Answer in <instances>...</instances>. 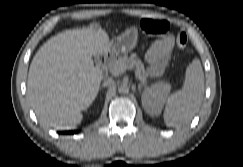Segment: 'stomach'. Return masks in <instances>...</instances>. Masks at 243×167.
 <instances>
[{"instance_id": "stomach-1", "label": "stomach", "mask_w": 243, "mask_h": 167, "mask_svg": "<svg viewBox=\"0 0 243 167\" xmlns=\"http://www.w3.org/2000/svg\"><path fill=\"white\" fill-rule=\"evenodd\" d=\"M137 39V28L135 26L127 28L124 33L117 36L110 42V54L118 56L130 52L135 48Z\"/></svg>"}]
</instances>
